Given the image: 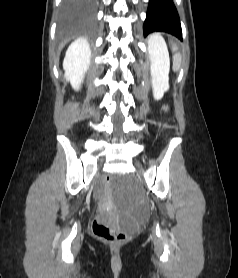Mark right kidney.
Instances as JSON below:
<instances>
[{
    "mask_svg": "<svg viewBox=\"0 0 238 278\" xmlns=\"http://www.w3.org/2000/svg\"><path fill=\"white\" fill-rule=\"evenodd\" d=\"M91 50L85 38H79L68 48L63 62L65 77L75 89H79L85 72L88 70Z\"/></svg>",
    "mask_w": 238,
    "mask_h": 278,
    "instance_id": "1",
    "label": "right kidney"
}]
</instances>
